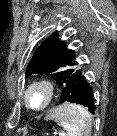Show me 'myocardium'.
<instances>
[{
	"mask_svg": "<svg viewBox=\"0 0 117 136\" xmlns=\"http://www.w3.org/2000/svg\"><path fill=\"white\" fill-rule=\"evenodd\" d=\"M40 89L44 93V102L39 107H33L28 100V96L31 91ZM55 94L54 83L47 78H39L28 84L23 93V103L25 107L31 111L39 112L43 111L51 103Z\"/></svg>",
	"mask_w": 117,
	"mask_h": 136,
	"instance_id": "1",
	"label": "myocardium"
}]
</instances>
